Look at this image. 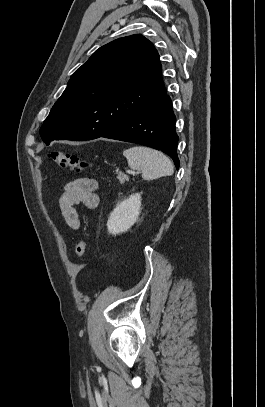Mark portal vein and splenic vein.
I'll use <instances>...</instances> for the list:
<instances>
[{
  "label": "portal vein and splenic vein",
  "mask_w": 265,
  "mask_h": 407,
  "mask_svg": "<svg viewBox=\"0 0 265 407\" xmlns=\"http://www.w3.org/2000/svg\"><path fill=\"white\" fill-rule=\"evenodd\" d=\"M131 174H134V172H132V171H129Z\"/></svg>",
  "instance_id": "18ae733b"
}]
</instances>
